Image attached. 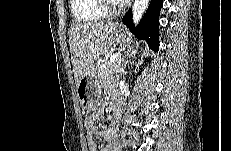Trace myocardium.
I'll return each instance as SVG.
<instances>
[{
    "label": "myocardium",
    "instance_id": "myocardium-1",
    "mask_svg": "<svg viewBox=\"0 0 231 151\" xmlns=\"http://www.w3.org/2000/svg\"><path fill=\"white\" fill-rule=\"evenodd\" d=\"M97 6L101 14L107 18L119 15L124 9L122 4H114L110 0H98Z\"/></svg>",
    "mask_w": 231,
    "mask_h": 151
}]
</instances>
